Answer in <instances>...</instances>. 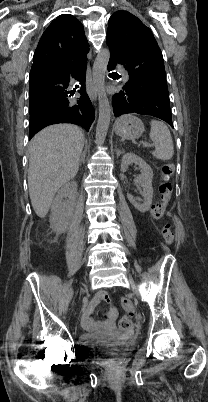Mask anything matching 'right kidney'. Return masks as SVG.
I'll return each mask as SVG.
<instances>
[{
	"label": "right kidney",
	"instance_id": "obj_1",
	"mask_svg": "<svg viewBox=\"0 0 208 402\" xmlns=\"http://www.w3.org/2000/svg\"><path fill=\"white\" fill-rule=\"evenodd\" d=\"M65 198V200H64ZM77 200L76 182H67L55 196L51 206L50 226L56 234H64L75 210Z\"/></svg>",
	"mask_w": 208,
	"mask_h": 402
}]
</instances>
